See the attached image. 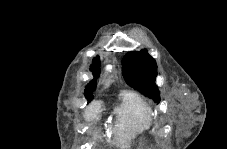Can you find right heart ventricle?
<instances>
[{
	"label": "right heart ventricle",
	"mask_w": 227,
	"mask_h": 149,
	"mask_svg": "<svg viewBox=\"0 0 227 149\" xmlns=\"http://www.w3.org/2000/svg\"><path fill=\"white\" fill-rule=\"evenodd\" d=\"M113 128L117 143L129 146L132 140L151 133L154 129V113L151 106L138 94L125 92L115 107Z\"/></svg>",
	"instance_id": "obj_1"
}]
</instances>
